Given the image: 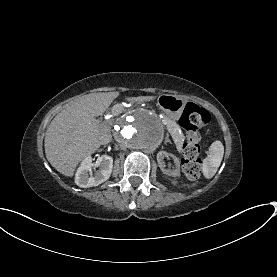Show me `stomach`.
<instances>
[{
  "mask_svg": "<svg viewBox=\"0 0 277 277\" xmlns=\"http://www.w3.org/2000/svg\"><path fill=\"white\" fill-rule=\"evenodd\" d=\"M157 103L160 109L169 117L177 118L181 115L186 105V102L177 96L163 94L158 97Z\"/></svg>",
  "mask_w": 277,
  "mask_h": 277,
  "instance_id": "obj_1",
  "label": "stomach"
}]
</instances>
